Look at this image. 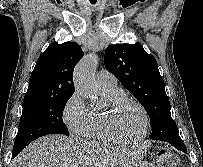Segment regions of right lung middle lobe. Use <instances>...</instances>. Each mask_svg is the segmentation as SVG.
<instances>
[{"mask_svg":"<svg viewBox=\"0 0 203 167\" xmlns=\"http://www.w3.org/2000/svg\"><path fill=\"white\" fill-rule=\"evenodd\" d=\"M70 97H53L23 102V112L13 147V155H17L29 143L41 136L69 135L62 115Z\"/></svg>","mask_w":203,"mask_h":167,"instance_id":"dd1d6c3e","label":"right lung middle lobe"}]
</instances>
